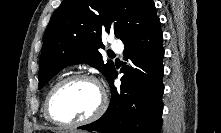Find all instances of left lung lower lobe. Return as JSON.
Wrapping results in <instances>:
<instances>
[{
	"mask_svg": "<svg viewBox=\"0 0 221 133\" xmlns=\"http://www.w3.org/2000/svg\"><path fill=\"white\" fill-rule=\"evenodd\" d=\"M159 18L146 29L124 42L125 60L121 69L120 89H115L114 69L108 82L112 98L105 114L97 121L79 129L103 133H160L162 126V94L164 50Z\"/></svg>",
	"mask_w": 221,
	"mask_h": 133,
	"instance_id": "obj_1",
	"label": "left lung lower lobe"
}]
</instances>
